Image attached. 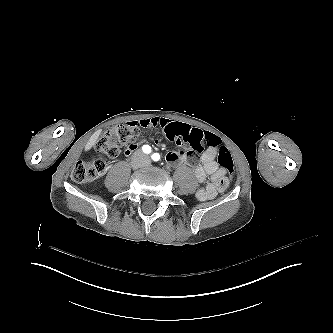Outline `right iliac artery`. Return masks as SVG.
I'll use <instances>...</instances> for the list:
<instances>
[{"label": "right iliac artery", "mask_w": 333, "mask_h": 333, "mask_svg": "<svg viewBox=\"0 0 333 333\" xmlns=\"http://www.w3.org/2000/svg\"><path fill=\"white\" fill-rule=\"evenodd\" d=\"M142 150H143V152L144 153H150L151 152V147L149 146V145H144L143 147H142Z\"/></svg>", "instance_id": "right-iliac-artery-1"}]
</instances>
